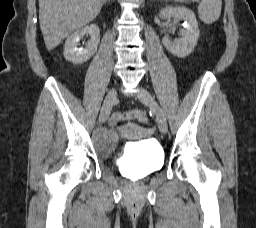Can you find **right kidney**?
<instances>
[{"label": "right kidney", "mask_w": 256, "mask_h": 228, "mask_svg": "<svg viewBox=\"0 0 256 228\" xmlns=\"http://www.w3.org/2000/svg\"><path fill=\"white\" fill-rule=\"evenodd\" d=\"M85 35H90L91 39L88 41L84 49H79L78 42ZM99 41L100 30L97 25L91 24L81 28L67 38L63 52L64 57L73 64H82L88 61L95 54Z\"/></svg>", "instance_id": "right-kidney-1"}]
</instances>
